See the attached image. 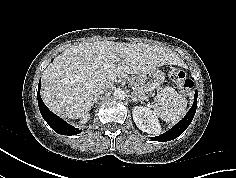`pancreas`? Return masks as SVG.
I'll return each mask as SVG.
<instances>
[{
	"mask_svg": "<svg viewBox=\"0 0 236 178\" xmlns=\"http://www.w3.org/2000/svg\"><path fill=\"white\" fill-rule=\"evenodd\" d=\"M136 93H137V95H138L139 97H145V96H146L145 93H144V91H142V90L140 89V87L137 88Z\"/></svg>",
	"mask_w": 236,
	"mask_h": 178,
	"instance_id": "obj_1",
	"label": "pancreas"
}]
</instances>
